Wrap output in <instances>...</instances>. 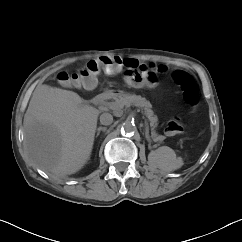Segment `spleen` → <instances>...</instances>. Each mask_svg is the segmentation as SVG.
<instances>
[{
	"mask_svg": "<svg viewBox=\"0 0 242 242\" xmlns=\"http://www.w3.org/2000/svg\"><path fill=\"white\" fill-rule=\"evenodd\" d=\"M157 164L158 166L165 171H172L176 168L178 160L176 159L175 152L167 147H160L157 151Z\"/></svg>",
	"mask_w": 242,
	"mask_h": 242,
	"instance_id": "obj_1",
	"label": "spleen"
}]
</instances>
